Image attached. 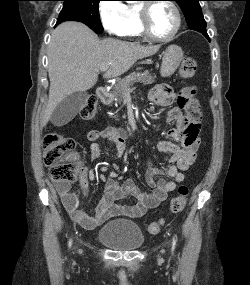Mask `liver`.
<instances>
[{
  "label": "liver",
  "mask_w": 250,
  "mask_h": 285,
  "mask_svg": "<svg viewBox=\"0 0 250 285\" xmlns=\"http://www.w3.org/2000/svg\"><path fill=\"white\" fill-rule=\"evenodd\" d=\"M160 46H143L113 38L100 40L86 25L64 22L52 33L48 48L49 99L41 123L45 126L57 105L75 92H85L109 65L104 78L117 77L139 59L154 55Z\"/></svg>",
  "instance_id": "liver-1"
}]
</instances>
